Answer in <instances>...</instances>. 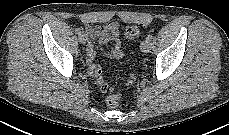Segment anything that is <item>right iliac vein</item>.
<instances>
[{"mask_svg":"<svg viewBox=\"0 0 229 135\" xmlns=\"http://www.w3.org/2000/svg\"><path fill=\"white\" fill-rule=\"evenodd\" d=\"M79 40L81 43H85L87 40V35L86 34H81L79 37Z\"/></svg>","mask_w":229,"mask_h":135,"instance_id":"right-iliac-vein-1","label":"right iliac vein"}]
</instances>
